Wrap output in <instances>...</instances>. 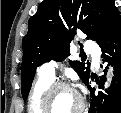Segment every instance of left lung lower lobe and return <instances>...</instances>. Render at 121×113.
Masks as SVG:
<instances>
[{"label": "left lung lower lobe", "mask_w": 121, "mask_h": 113, "mask_svg": "<svg viewBox=\"0 0 121 113\" xmlns=\"http://www.w3.org/2000/svg\"><path fill=\"white\" fill-rule=\"evenodd\" d=\"M102 50L103 61L111 62L114 69L112 84L107 91L108 95L101 92L98 95L91 88V76L86 83L91 94V105L88 113H121V17L118 18L108 37L99 43ZM109 53L112 57L106 56ZM101 88V87H100ZM103 98H105L103 100Z\"/></svg>", "instance_id": "left-lung-lower-lobe-1"}]
</instances>
